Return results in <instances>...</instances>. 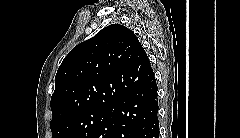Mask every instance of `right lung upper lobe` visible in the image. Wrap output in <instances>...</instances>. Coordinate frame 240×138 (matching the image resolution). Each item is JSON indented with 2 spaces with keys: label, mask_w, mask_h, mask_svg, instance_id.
<instances>
[{
  "label": "right lung upper lobe",
  "mask_w": 240,
  "mask_h": 138,
  "mask_svg": "<svg viewBox=\"0 0 240 138\" xmlns=\"http://www.w3.org/2000/svg\"><path fill=\"white\" fill-rule=\"evenodd\" d=\"M154 78L148 56L127 27L112 24L75 46L61 63L51 122L90 108H109Z\"/></svg>",
  "instance_id": "right-lung-upper-lobe-1"
}]
</instances>
